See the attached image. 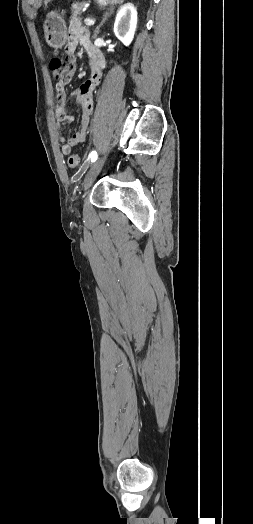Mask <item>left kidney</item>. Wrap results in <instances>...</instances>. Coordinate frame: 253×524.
I'll use <instances>...</instances> for the list:
<instances>
[{"mask_svg": "<svg viewBox=\"0 0 253 524\" xmlns=\"http://www.w3.org/2000/svg\"><path fill=\"white\" fill-rule=\"evenodd\" d=\"M137 26V10L131 3H126L117 12L114 33L116 37L128 46L134 38Z\"/></svg>", "mask_w": 253, "mask_h": 524, "instance_id": "1", "label": "left kidney"}]
</instances>
